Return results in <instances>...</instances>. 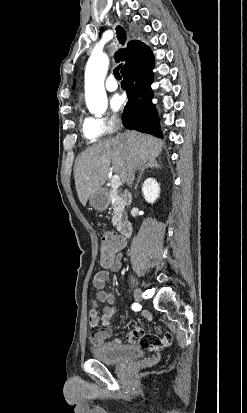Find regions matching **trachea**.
<instances>
[{"mask_svg":"<svg viewBox=\"0 0 247 413\" xmlns=\"http://www.w3.org/2000/svg\"><path fill=\"white\" fill-rule=\"evenodd\" d=\"M117 37H118V40L120 41V43H124L126 41V33H125V31L122 27H117ZM121 67H122V64L118 65V67L114 68V70H113V74H114V76L117 80L122 79V77L119 73V70H120Z\"/></svg>","mask_w":247,"mask_h":413,"instance_id":"trachea-1","label":"trachea"}]
</instances>
